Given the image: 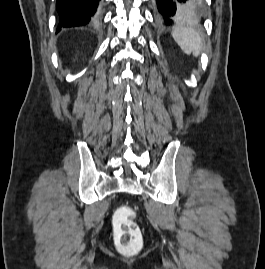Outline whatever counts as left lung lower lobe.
<instances>
[{"label":"left lung lower lobe","instance_id":"obj_1","mask_svg":"<svg viewBox=\"0 0 265 269\" xmlns=\"http://www.w3.org/2000/svg\"><path fill=\"white\" fill-rule=\"evenodd\" d=\"M158 19L169 26L178 20L196 19L204 14L202 0H155Z\"/></svg>","mask_w":265,"mask_h":269}]
</instances>
